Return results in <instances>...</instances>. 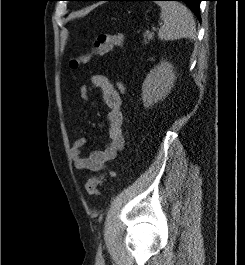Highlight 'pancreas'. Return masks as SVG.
I'll return each mask as SVG.
<instances>
[{"mask_svg":"<svg viewBox=\"0 0 245 265\" xmlns=\"http://www.w3.org/2000/svg\"><path fill=\"white\" fill-rule=\"evenodd\" d=\"M152 39H153V34H151V33H145L144 34V44H147Z\"/></svg>","mask_w":245,"mask_h":265,"instance_id":"pancreas-1","label":"pancreas"}]
</instances>
